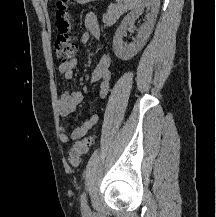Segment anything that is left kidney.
<instances>
[{"label": "left kidney", "mask_w": 216, "mask_h": 217, "mask_svg": "<svg viewBox=\"0 0 216 217\" xmlns=\"http://www.w3.org/2000/svg\"><path fill=\"white\" fill-rule=\"evenodd\" d=\"M159 6L160 0H142L135 9L123 19L113 39V51L116 57L122 60H129L142 49L153 30ZM145 8L151 10L146 23L139 28L137 39L130 44H125L123 42V36L126 34L127 27L134 22L138 14Z\"/></svg>", "instance_id": "left-kidney-1"}]
</instances>
